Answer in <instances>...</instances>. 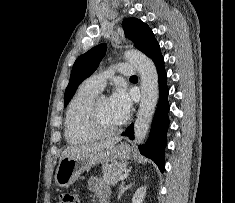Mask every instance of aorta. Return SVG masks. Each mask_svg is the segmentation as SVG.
Returning a JSON list of instances; mask_svg holds the SVG:
<instances>
[{
    "label": "aorta",
    "mask_w": 235,
    "mask_h": 203,
    "mask_svg": "<svg viewBox=\"0 0 235 203\" xmlns=\"http://www.w3.org/2000/svg\"><path fill=\"white\" fill-rule=\"evenodd\" d=\"M124 57L132 63L141 78V101L134 124V141L143 143L149 130L159 97L158 74L151 59L136 50H128Z\"/></svg>",
    "instance_id": "762f6f07"
}]
</instances>
